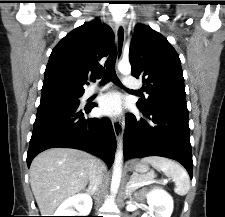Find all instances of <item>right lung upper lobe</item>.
Segmentation results:
<instances>
[{"label": "right lung upper lobe", "instance_id": "obj_1", "mask_svg": "<svg viewBox=\"0 0 225 217\" xmlns=\"http://www.w3.org/2000/svg\"><path fill=\"white\" fill-rule=\"evenodd\" d=\"M113 38L111 28L98 19L68 33L51 52L41 94L84 93L88 79L103 76L99 61L108 55Z\"/></svg>", "mask_w": 225, "mask_h": 217}]
</instances>
